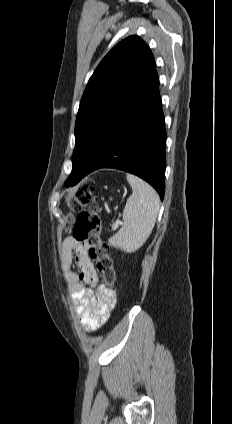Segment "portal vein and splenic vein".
<instances>
[{"mask_svg":"<svg viewBox=\"0 0 232 424\" xmlns=\"http://www.w3.org/2000/svg\"><path fill=\"white\" fill-rule=\"evenodd\" d=\"M119 224H120V221H117L116 224H115V226H118Z\"/></svg>","mask_w":232,"mask_h":424,"instance_id":"obj_1","label":"portal vein and splenic vein"}]
</instances>
